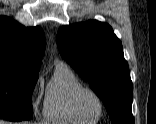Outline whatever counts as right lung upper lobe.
Wrapping results in <instances>:
<instances>
[{
    "instance_id": "1",
    "label": "right lung upper lobe",
    "mask_w": 156,
    "mask_h": 124,
    "mask_svg": "<svg viewBox=\"0 0 156 124\" xmlns=\"http://www.w3.org/2000/svg\"><path fill=\"white\" fill-rule=\"evenodd\" d=\"M40 27H25L7 16H0V67L38 73L45 50Z\"/></svg>"
}]
</instances>
